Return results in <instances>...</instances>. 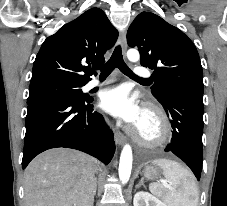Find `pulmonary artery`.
Returning a JSON list of instances; mask_svg holds the SVG:
<instances>
[{
  "instance_id": "e3ab8cb5",
  "label": "pulmonary artery",
  "mask_w": 227,
  "mask_h": 206,
  "mask_svg": "<svg viewBox=\"0 0 227 206\" xmlns=\"http://www.w3.org/2000/svg\"><path fill=\"white\" fill-rule=\"evenodd\" d=\"M134 74H135V76L140 77V78H147V77H150V75H151V73L143 67H136L134 69ZM112 81H114V79H106V80L92 79L91 81H89L87 83L86 89L89 90V89H92V88H95L98 86L108 84Z\"/></svg>"
}]
</instances>
